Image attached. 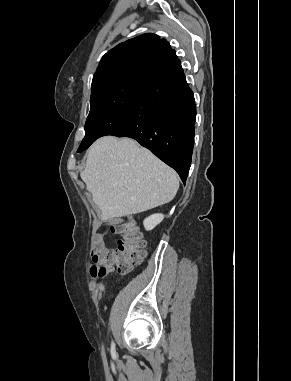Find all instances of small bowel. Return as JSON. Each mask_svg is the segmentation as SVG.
<instances>
[{
    "label": "small bowel",
    "mask_w": 291,
    "mask_h": 381,
    "mask_svg": "<svg viewBox=\"0 0 291 381\" xmlns=\"http://www.w3.org/2000/svg\"><path fill=\"white\" fill-rule=\"evenodd\" d=\"M96 250L104 246V239L101 234H97L95 238Z\"/></svg>",
    "instance_id": "c3829d8e"
}]
</instances>
